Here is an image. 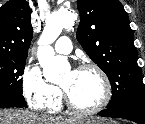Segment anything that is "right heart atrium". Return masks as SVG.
I'll list each match as a JSON object with an SVG mask.
<instances>
[{"label":"right heart atrium","mask_w":145,"mask_h":124,"mask_svg":"<svg viewBox=\"0 0 145 124\" xmlns=\"http://www.w3.org/2000/svg\"><path fill=\"white\" fill-rule=\"evenodd\" d=\"M23 94L35 109L53 112L60 108V89L45 80L41 70L32 64L25 67L22 74Z\"/></svg>","instance_id":"obj_1"}]
</instances>
